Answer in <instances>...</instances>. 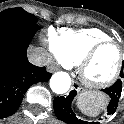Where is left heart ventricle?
I'll return each instance as SVG.
<instances>
[{"instance_id":"obj_1","label":"left heart ventricle","mask_w":124,"mask_h":124,"mask_svg":"<svg viewBox=\"0 0 124 124\" xmlns=\"http://www.w3.org/2000/svg\"><path fill=\"white\" fill-rule=\"evenodd\" d=\"M119 52L115 46L102 48L86 69V77L93 82H103L109 79L116 70Z\"/></svg>"}]
</instances>
